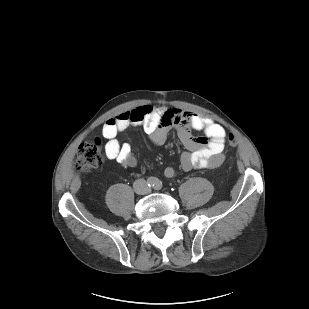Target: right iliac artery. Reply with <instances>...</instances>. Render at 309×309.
<instances>
[{
	"mask_svg": "<svg viewBox=\"0 0 309 309\" xmlns=\"http://www.w3.org/2000/svg\"><path fill=\"white\" fill-rule=\"evenodd\" d=\"M155 182H156V179L152 177L147 180L148 186H154Z\"/></svg>",
	"mask_w": 309,
	"mask_h": 309,
	"instance_id": "1",
	"label": "right iliac artery"
}]
</instances>
